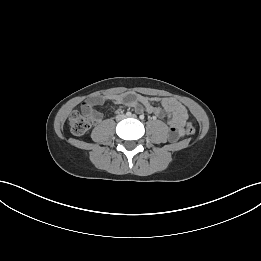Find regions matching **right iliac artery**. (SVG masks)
I'll return each instance as SVG.
<instances>
[{
    "label": "right iliac artery",
    "instance_id": "obj_1",
    "mask_svg": "<svg viewBox=\"0 0 261 261\" xmlns=\"http://www.w3.org/2000/svg\"><path fill=\"white\" fill-rule=\"evenodd\" d=\"M132 115V113L131 112H126V116H128V117H130Z\"/></svg>",
    "mask_w": 261,
    "mask_h": 261
}]
</instances>
